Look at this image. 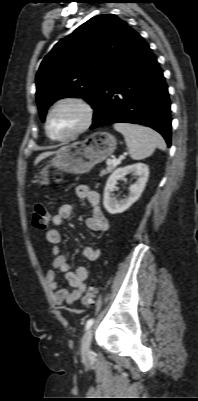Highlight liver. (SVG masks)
Masks as SVG:
<instances>
[{"mask_svg":"<svg viewBox=\"0 0 198 401\" xmlns=\"http://www.w3.org/2000/svg\"><path fill=\"white\" fill-rule=\"evenodd\" d=\"M59 151H60V150H58V151H46V152H43V153L39 154V155L36 157L35 161H34V165H37V164H38L40 161H42L43 159L49 157V156L52 155V154L58 153Z\"/></svg>","mask_w":198,"mask_h":401,"instance_id":"obj_1","label":"liver"}]
</instances>
